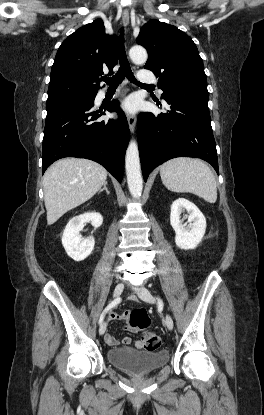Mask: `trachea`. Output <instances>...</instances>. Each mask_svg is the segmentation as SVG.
<instances>
[{"instance_id":"3493384b","label":"trachea","mask_w":264,"mask_h":415,"mask_svg":"<svg viewBox=\"0 0 264 415\" xmlns=\"http://www.w3.org/2000/svg\"><path fill=\"white\" fill-rule=\"evenodd\" d=\"M119 64H120V68L114 76L103 79V81L106 84H108L109 87L118 86L125 77L129 81L137 85L144 86V87H153L152 85L140 83L135 79L133 72L131 70V67L129 65L127 56H126L125 49H124V30L121 31L120 41H119Z\"/></svg>"}]
</instances>
